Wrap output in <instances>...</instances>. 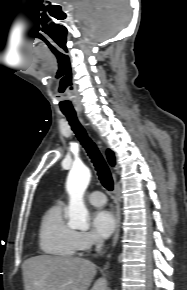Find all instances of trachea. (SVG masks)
Returning a JSON list of instances; mask_svg holds the SVG:
<instances>
[{
  "label": "trachea",
  "instance_id": "obj_1",
  "mask_svg": "<svg viewBox=\"0 0 187 290\" xmlns=\"http://www.w3.org/2000/svg\"><path fill=\"white\" fill-rule=\"evenodd\" d=\"M64 115L67 117L72 130L91 158L100 182L107 190L112 191L114 185L112 175L97 146L88 137L86 131L78 121L76 113H64Z\"/></svg>",
  "mask_w": 187,
  "mask_h": 290
}]
</instances>
